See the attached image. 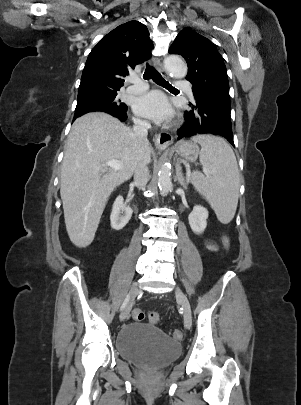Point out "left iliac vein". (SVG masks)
Instances as JSON below:
<instances>
[{
    "label": "left iliac vein",
    "mask_w": 301,
    "mask_h": 405,
    "mask_svg": "<svg viewBox=\"0 0 301 405\" xmlns=\"http://www.w3.org/2000/svg\"><path fill=\"white\" fill-rule=\"evenodd\" d=\"M175 294L177 301L183 308L184 312V326L186 329L191 327L192 324V314H191V307L190 303L186 297V295L181 291L179 287L175 289Z\"/></svg>",
    "instance_id": "obj_1"
}]
</instances>
